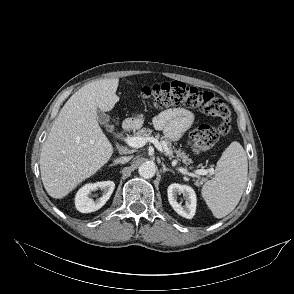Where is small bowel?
Returning <instances> with one entry per match:
<instances>
[{"label":"small bowel","mask_w":294,"mask_h":294,"mask_svg":"<svg viewBox=\"0 0 294 294\" xmlns=\"http://www.w3.org/2000/svg\"><path fill=\"white\" fill-rule=\"evenodd\" d=\"M194 122V115L184 108H170L154 118V126L175 141L187 131Z\"/></svg>","instance_id":"small-bowel-1"}]
</instances>
